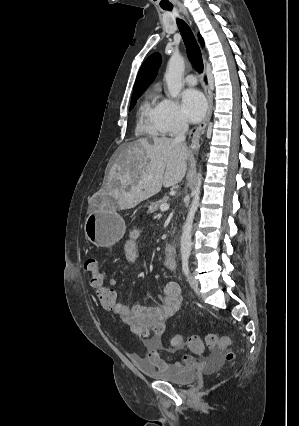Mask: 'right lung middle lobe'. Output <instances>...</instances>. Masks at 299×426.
Listing matches in <instances>:
<instances>
[{
    "instance_id": "dd1d6c3e",
    "label": "right lung middle lobe",
    "mask_w": 299,
    "mask_h": 426,
    "mask_svg": "<svg viewBox=\"0 0 299 426\" xmlns=\"http://www.w3.org/2000/svg\"><path fill=\"white\" fill-rule=\"evenodd\" d=\"M142 93H143V91L133 92L132 100H131V104H130V109H132L134 107L137 99L141 96Z\"/></svg>"
}]
</instances>
